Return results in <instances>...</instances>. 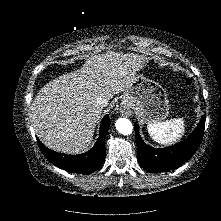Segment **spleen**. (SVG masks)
I'll return each instance as SVG.
<instances>
[{"instance_id": "3e777b00", "label": "spleen", "mask_w": 221, "mask_h": 221, "mask_svg": "<svg viewBox=\"0 0 221 221\" xmlns=\"http://www.w3.org/2000/svg\"><path fill=\"white\" fill-rule=\"evenodd\" d=\"M151 138L163 145L178 141L185 132L184 119L173 118L164 122L150 123L147 126Z\"/></svg>"}]
</instances>
